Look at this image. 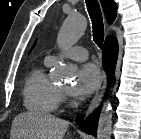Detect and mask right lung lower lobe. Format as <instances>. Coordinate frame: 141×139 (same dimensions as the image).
<instances>
[{"mask_svg":"<svg viewBox=\"0 0 141 139\" xmlns=\"http://www.w3.org/2000/svg\"><path fill=\"white\" fill-rule=\"evenodd\" d=\"M117 56V40L115 37L108 36L103 47V66L108 74L109 81L112 79L114 73ZM99 112L100 109L95 110L94 113L91 114L88 118H86L85 121H83V116H79L77 117L76 122L84 132L96 136Z\"/></svg>","mask_w":141,"mask_h":139,"instance_id":"right-lung-lower-lobe-1","label":"right lung lower lobe"}]
</instances>
